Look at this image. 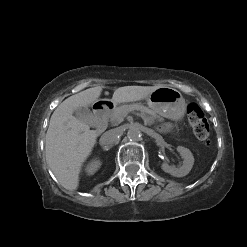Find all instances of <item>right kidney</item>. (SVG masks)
<instances>
[{"instance_id":"ca27d5eb","label":"right kidney","mask_w":247,"mask_h":247,"mask_svg":"<svg viewBox=\"0 0 247 247\" xmlns=\"http://www.w3.org/2000/svg\"><path fill=\"white\" fill-rule=\"evenodd\" d=\"M101 166L100 160L94 159L87 164L85 170L88 175H93Z\"/></svg>"}]
</instances>
